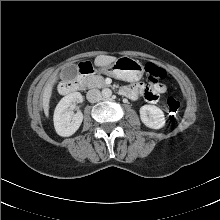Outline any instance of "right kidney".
Here are the masks:
<instances>
[{
	"label": "right kidney",
	"instance_id": "obj_1",
	"mask_svg": "<svg viewBox=\"0 0 220 220\" xmlns=\"http://www.w3.org/2000/svg\"><path fill=\"white\" fill-rule=\"evenodd\" d=\"M81 102L82 95L79 92H73L63 97L57 104L54 111V127L58 135L69 137L73 135L80 127L83 121V114L73 112L69 109L73 102Z\"/></svg>",
	"mask_w": 220,
	"mask_h": 220
}]
</instances>
